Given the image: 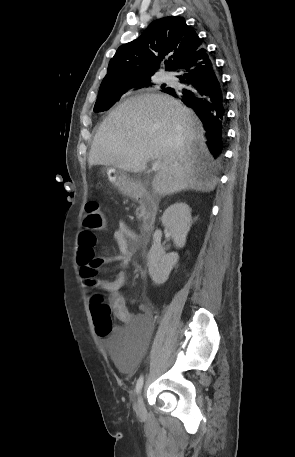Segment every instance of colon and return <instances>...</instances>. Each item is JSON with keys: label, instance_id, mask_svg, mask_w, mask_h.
Wrapping results in <instances>:
<instances>
[{"label": "colon", "instance_id": "1", "mask_svg": "<svg viewBox=\"0 0 295 457\" xmlns=\"http://www.w3.org/2000/svg\"><path fill=\"white\" fill-rule=\"evenodd\" d=\"M83 223L87 229L94 231L107 227V217L99 200L92 199L87 202ZM95 273L94 265L84 259L80 260V274L83 278L92 283ZM91 313L97 334L100 337L108 336L112 331L111 309L98 294L92 297Z\"/></svg>", "mask_w": 295, "mask_h": 457}]
</instances>
